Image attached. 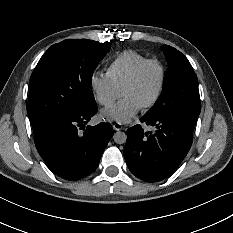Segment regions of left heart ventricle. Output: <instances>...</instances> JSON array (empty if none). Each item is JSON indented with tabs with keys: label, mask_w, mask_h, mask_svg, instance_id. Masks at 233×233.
Returning a JSON list of instances; mask_svg holds the SVG:
<instances>
[{
	"label": "left heart ventricle",
	"mask_w": 233,
	"mask_h": 233,
	"mask_svg": "<svg viewBox=\"0 0 233 233\" xmlns=\"http://www.w3.org/2000/svg\"><path fill=\"white\" fill-rule=\"evenodd\" d=\"M160 79V67L157 64H150L145 68L133 86L120 91V97H132L144 106L154 98L159 87Z\"/></svg>",
	"instance_id": "left-heart-ventricle-1"
}]
</instances>
